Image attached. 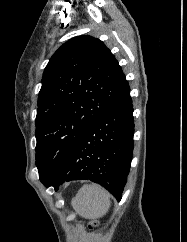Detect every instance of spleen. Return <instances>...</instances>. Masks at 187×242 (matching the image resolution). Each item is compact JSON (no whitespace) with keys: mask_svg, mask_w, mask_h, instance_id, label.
Returning <instances> with one entry per match:
<instances>
[{"mask_svg":"<svg viewBox=\"0 0 187 242\" xmlns=\"http://www.w3.org/2000/svg\"><path fill=\"white\" fill-rule=\"evenodd\" d=\"M110 194L97 184L84 185L72 199L74 210L87 219H97L110 208Z\"/></svg>","mask_w":187,"mask_h":242,"instance_id":"obj_1","label":"spleen"}]
</instances>
